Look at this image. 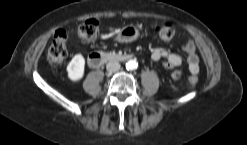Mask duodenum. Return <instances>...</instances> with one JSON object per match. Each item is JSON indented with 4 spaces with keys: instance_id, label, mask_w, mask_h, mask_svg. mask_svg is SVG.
Here are the masks:
<instances>
[{
    "instance_id": "duodenum-1",
    "label": "duodenum",
    "mask_w": 247,
    "mask_h": 145,
    "mask_svg": "<svg viewBox=\"0 0 247 145\" xmlns=\"http://www.w3.org/2000/svg\"><path fill=\"white\" fill-rule=\"evenodd\" d=\"M132 58L131 55L108 54L104 52H93L88 57V64L92 68H99L108 61L122 62Z\"/></svg>"
}]
</instances>
